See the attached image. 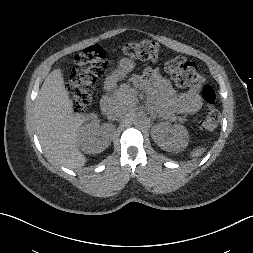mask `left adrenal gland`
<instances>
[{"label":"left adrenal gland","mask_w":253,"mask_h":253,"mask_svg":"<svg viewBox=\"0 0 253 253\" xmlns=\"http://www.w3.org/2000/svg\"><path fill=\"white\" fill-rule=\"evenodd\" d=\"M152 114H153V113H152ZM155 117H156V115L154 114V115H153V118H155Z\"/></svg>","instance_id":"obj_1"}]
</instances>
